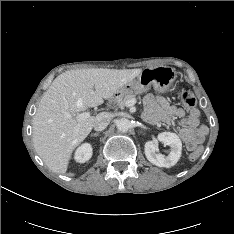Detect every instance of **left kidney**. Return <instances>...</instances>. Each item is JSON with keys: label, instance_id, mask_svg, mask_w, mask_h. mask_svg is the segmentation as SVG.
<instances>
[{"label": "left kidney", "instance_id": "obj_1", "mask_svg": "<svg viewBox=\"0 0 234 234\" xmlns=\"http://www.w3.org/2000/svg\"><path fill=\"white\" fill-rule=\"evenodd\" d=\"M157 140L170 146L171 150L168 156L156 153L157 144L154 141H147L145 143V156L149 162L158 167H172L181 157L182 143L180 138L171 132H162L158 134Z\"/></svg>", "mask_w": 234, "mask_h": 234}]
</instances>
